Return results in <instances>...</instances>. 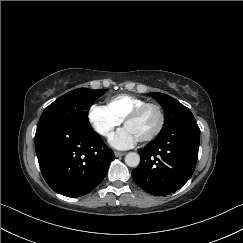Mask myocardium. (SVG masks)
Returning <instances> with one entry per match:
<instances>
[{
	"instance_id": "f54148a6",
	"label": "myocardium",
	"mask_w": 243,
	"mask_h": 243,
	"mask_svg": "<svg viewBox=\"0 0 243 243\" xmlns=\"http://www.w3.org/2000/svg\"><path fill=\"white\" fill-rule=\"evenodd\" d=\"M148 108H155L159 114V123L157 128L147 137L139 140L138 142L141 144H146L148 142H151L155 138H157L160 133L162 132L164 126H165V111L163 107L158 103H145L143 105H140L139 107L135 108L133 111H131L125 118H124V125L126 126L127 123H129L132 120L137 119L146 109Z\"/></svg>"
}]
</instances>
